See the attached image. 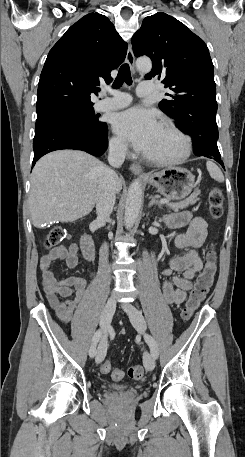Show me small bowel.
<instances>
[{
	"mask_svg": "<svg viewBox=\"0 0 245 457\" xmlns=\"http://www.w3.org/2000/svg\"><path fill=\"white\" fill-rule=\"evenodd\" d=\"M165 224L171 229L186 228L185 232L176 236L175 244L185 252L173 257L169 265L161 270L163 277H170L174 272L179 274L162 284L165 301L169 304H182L187 292L192 288L191 280L202 268L199 249L207 236V223L202 217H194L188 211L169 214L165 217ZM78 246L70 245L56 247L44 255L40 261V273L43 290L49 305L56 316L63 323H71L77 305L82 300L88 286L85 279L69 277L58 281L53 273L54 262L63 261L69 269L77 266ZM72 337L77 345L85 349L88 338L80 327L72 325Z\"/></svg>",
	"mask_w": 245,
	"mask_h": 457,
	"instance_id": "small-bowel-1",
	"label": "small bowel"
}]
</instances>
